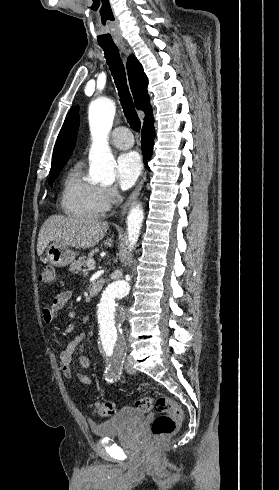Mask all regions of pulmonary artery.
I'll return each instance as SVG.
<instances>
[{
	"mask_svg": "<svg viewBox=\"0 0 279 490\" xmlns=\"http://www.w3.org/2000/svg\"><path fill=\"white\" fill-rule=\"evenodd\" d=\"M129 130L126 127H118L113 132L112 142L113 144L121 150L129 149L131 146L135 145V138L128 137Z\"/></svg>",
	"mask_w": 279,
	"mask_h": 490,
	"instance_id": "obj_1",
	"label": "pulmonary artery"
}]
</instances>
